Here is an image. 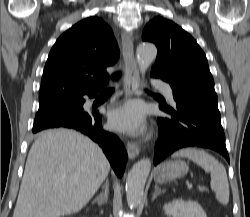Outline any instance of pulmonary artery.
<instances>
[{"instance_id": "obj_1", "label": "pulmonary artery", "mask_w": 250, "mask_h": 217, "mask_svg": "<svg viewBox=\"0 0 250 217\" xmlns=\"http://www.w3.org/2000/svg\"><path fill=\"white\" fill-rule=\"evenodd\" d=\"M154 85L157 89H159L160 91L163 92V94L165 95V97L173 102V93H172V89L171 86L164 82V81H160V80H156L154 81Z\"/></svg>"}]
</instances>
